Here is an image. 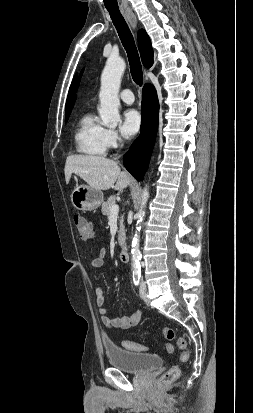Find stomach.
Segmentation results:
<instances>
[{
  "instance_id": "1",
  "label": "stomach",
  "mask_w": 253,
  "mask_h": 413,
  "mask_svg": "<svg viewBox=\"0 0 253 413\" xmlns=\"http://www.w3.org/2000/svg\"><path fill=\"white\" fill-rule=\"evenodd\" d=\"M103 193L101 190H96L88 185L77 186L72 194L71 201L75 208L81 210H95L103 202Z\"/></svg>"
}]
</instances>
